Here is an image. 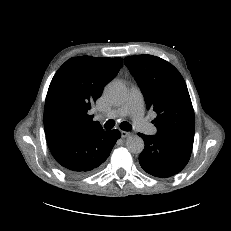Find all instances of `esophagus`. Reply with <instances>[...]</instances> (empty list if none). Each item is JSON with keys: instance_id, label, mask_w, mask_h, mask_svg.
Wrapping results in <instances>:
<instances>
[{"instance_id": "1", "label": "esophagus", "mask_w": 231, "mask_h": 231, "mask_svg": "<svg viewBox=\"0 0 231 231\" xmlns=\"http://www.w3.org/2000/svg\"><path fill=\"white\" fill-rule=\"evenodd\" d=\"M120 133H121V137H122V138H127V137H129V136L131 135L130 132L123 131V130H121Z\"/></svg>"}]
</instances>
